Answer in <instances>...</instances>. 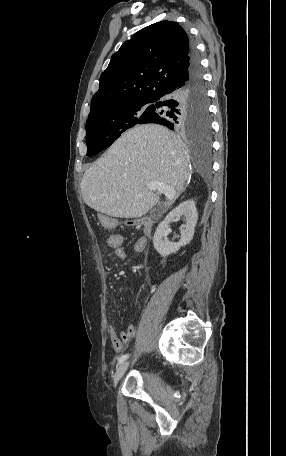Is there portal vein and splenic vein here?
I'll return each instance as SVG.
<instances>
[{"instance_id":"18ae733b","label":"portal vein and splenic vein","mask_w":286,"mask_h":456,"mask_svg":"<svg viewBox=\"0 0 286 456\" xmlns=\"http://www.w3.org/2000/svg\"><path fill=\"white\" fill-rule=\"evenodd\" d=\"M146 188L150 191H158L160 193H163L168 200H172L175 196L174 188L161 182H149L147 183Z\"/></svg>"}]
</instances>
